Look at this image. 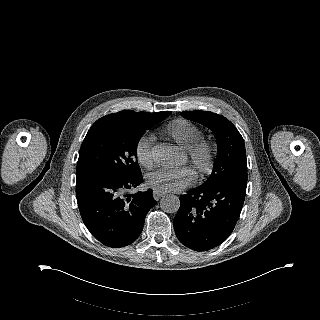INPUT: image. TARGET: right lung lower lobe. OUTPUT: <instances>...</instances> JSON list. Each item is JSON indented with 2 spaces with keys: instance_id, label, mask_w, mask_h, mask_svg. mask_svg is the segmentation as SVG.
<instances>
[{
  "instance_id": "98d812e1",
  "label": "right lung lower lobe",
  "mask_w": 320,
  "mask_h": 320,
  "mask_svg": "<svg viewBox=\"0 0 320 320\" xmlns=\"http://www.w3.org/2000/svg\"><path fill=\"white\" fill-rule=\"evenodd\" d=\"M76 177L78 207L91 234L110 247L135 241L156 204L151 189L133 192L142 177L129 179L100 167L77 168Z\"/></svg>"
}]
</instances>
